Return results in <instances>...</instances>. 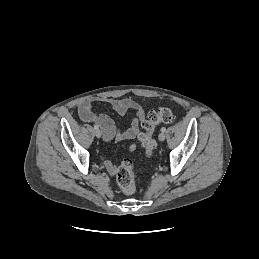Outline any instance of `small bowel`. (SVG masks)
Returning <instances> with one entry per match:
<instances>
[{"mask_svg": "<svg viewBox=\"0 0 259 259\" xmlns=\"http://www.w3.org/2000/svg\"><path fill=\"white\" fill-rule=\"evenodd\" d=\"M96 101L109 104L120 115H124L128 111H133L135 116L131 120L130 126L126 130H119L109 116L95 113L92 105ZM78 114L84 122L96 123L97 126L99 125L101 127L105 142L134 139L139 133L140 123L145 119V112L142 106L130 98L98 97L85 99L78 105ZM130 150L135 151L136 145L132 144ZM104 165L110 174H115L116 165L109 160H104Z\"/></svg>", "mask_w": 259, "mask_h": 259, "instance_id": "obj_1", "label": "small bowel"}]
</instances>
